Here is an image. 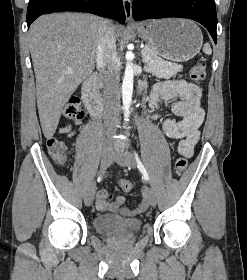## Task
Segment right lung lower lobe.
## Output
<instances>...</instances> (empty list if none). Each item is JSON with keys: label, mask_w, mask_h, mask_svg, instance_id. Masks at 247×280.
I'll use <instances>...</instances> for the list:
<instances>
[{"label": "right lung lower lobe", "mask_w": 247, "mask_h": 280, "mask_svg": "<svg viewBox=\"0 0 247 280\" xmlns=\"http://www.w3.org/2000/svg\"><path fill=\"white\" fill-rule=\"evenodd\" d=\"M84 11L113 18L123 23L125 19L122 0H30L27 25L40 15L49 12Z\"/></svg>", "instance_id": "1"}]
</instances>
